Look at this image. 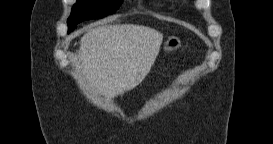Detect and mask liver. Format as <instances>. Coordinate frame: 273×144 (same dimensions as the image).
Listing matches in <instances>:
<instances>
[{
    "instance_id": "obj_1",
    "label": "liver",
    "mask_w": 273,
    "mask_h": 144,
    "mask_svg": "<svg viewBox=\"0 0 273 144\" xmlns=\"http://www.w3.org/2000/svg\"><path fill=\"white\" fill-rule=\"evenodd\" d=\"M162 41V33L150 27L102 25L81 37L79 67L95 93L114 98L144 80Z\"/></svg>"
}]
</instances>
